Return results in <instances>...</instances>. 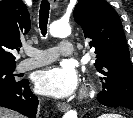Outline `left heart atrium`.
<instances>
[{
  "label": "left heart atrium",
  "instance_id": "1",
  "mask_svg": "<svg viewBox=\"0 0 133 118\" xmlns=\"http://www.w3.org/2000/svg\"><path fill=\"white\" fill-rule=\"evenodd\" d=\"M78 77L68 65L51 66L40 71L35 78L37 92L55 98L70 96L77 88Z\"/></svg>",
  "mask_w": 133,
  "mask_h": 118
}]
</instances>
